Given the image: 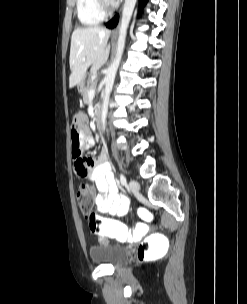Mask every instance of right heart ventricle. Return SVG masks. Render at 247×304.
Segmentation results:
<instances>
[{"instance_id":"1","label":"right heart ventricle","mask_w":247,"mask_h":304,"mask_svg":"<svg viewBox=\"0 0 247 304\" xmlns=\"http://www.w3.org/2000/svg\"><path fill=\"white\" fill-rule=\"evenodd\" d=\"M77 18L83 26H95L104 19L96 6V0H76Z\"/></svg>"}]
</instances>
